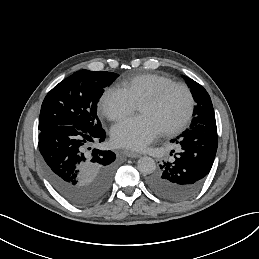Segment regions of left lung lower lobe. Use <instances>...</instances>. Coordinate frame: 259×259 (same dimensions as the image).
I'll list each match as a JSON object with an SVG mask.
<instances>
[{
  "instance_id": "obj_1",
  "label": "left lung lower lobe",
  "mask_w": 259,
  "mask_h": 259,
  "mask_svg": "<svg viewBox=\"0 0 259 259\" xmlns=\"http://www.w3.org/2000/svg\"><path fill=\"white\" fill-rule=\"evenodd\" d=\"M171 142L179 144L180 152L174 161L160 165L161 170L148 178L147 185L161 198L182 201L201 188L212 168L218 146L216 124L191 126Z\"/></svg>"
}]
</instances>
